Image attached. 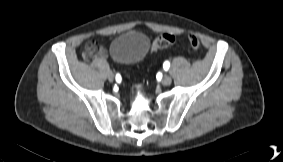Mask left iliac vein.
Segmentation results:
<instances>
[{
	"instance_id": "4c4485c4",
	"label": "left iliac vein",
	"mask_w": 283,
	"mask_h": 162,
	"mask_svg": "<svg viewBox=\"0 0 283 162\" xmlns=\"http://www.w3.org/2000/svg\"><path fill=\"white\" fill-rule=\"evenodd\" d=\"M161 83L164 85V86H168L172 83V79L170 76L168 75H165L163 76L162 80H161Z\"/></svg>"
}]
</instances>
